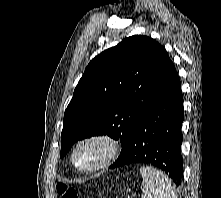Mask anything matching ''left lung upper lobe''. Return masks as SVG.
<instances>
[{"mask_svg": "<svg viewBox=\"0 0 221 198\" xmlns=\"http://www.w3.org/2000/svg\"><path fill=\"white\" fill-rule=\"evenodd\" d=\"M173 66L156 40L140 35L97 55L86 67L64 113L60 156L76 141L94 135L120 139L123 148Z\"/></svg>", "mask_w": 221, "mask_h": 198, "instance_id": "5c2ea615", "label": "left lung upper lobe"}]
</instances>
